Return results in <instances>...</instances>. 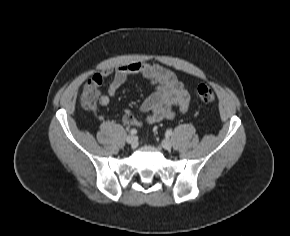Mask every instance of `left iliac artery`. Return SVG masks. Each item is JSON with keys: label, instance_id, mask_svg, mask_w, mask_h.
<instances>
[{"label": "left iliac artery", "instance_id": "1", "mask_svg": "<svg viewBox=\"0 0 290 236\" xmlns=\"http://www.w3.org/2000/svg\"><path fill=\"white\" fill-rule=\"evenodd\" d=\"M166 135H167V136L172 135V130H167V131H166Z\"/></svg>", "mask_w": 290, "mask_h": 236}]
</instances>
